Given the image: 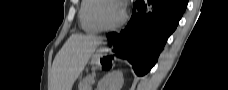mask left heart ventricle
<instances>
[{"instance_id":"b2bd125f","label":"left heart ventricle","mask_w":228,"mask_h":90,"mask_svg":"<svg viewBox=\"0 0 228 90\" xmlns=\"http://www.w3.org/2000/svg\"><path fill=\"white\" fill-rule=\"evenodd\" d=\"M122 15V8L119 4L106 2L101 5L99 16L106 25L116 23Z\"/></svg>"}]
</instances>
